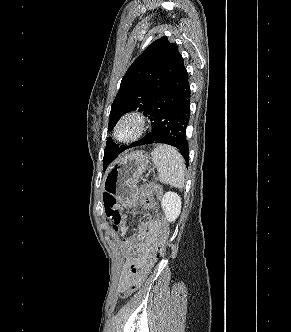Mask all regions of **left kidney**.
Here are the masks:
<instances>
[{
	"label": "left kidney",
	"instance_id": "left-kidney-1",
	"mask_svg": "<svg viewBox=\"0 0 291 332\" xmlns=\"http://www.w3.org/2000/svg\"><path fill=\"white\" fill-rule=\"evenodd\" d=\"M181 198L175 192H166L162 198L161 206L169 222H174L181 212Z\"/></svg>",
	"mask_w": 291,
	"mask_h": 332
}]
</instances>
